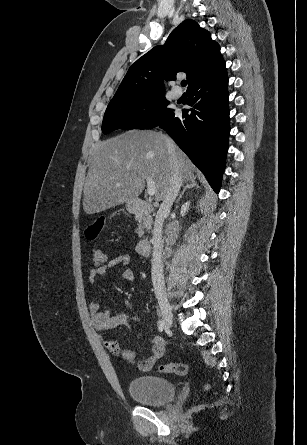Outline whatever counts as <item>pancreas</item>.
Masks as SVG:
<instances>
[{
  "instance_id": "cf45deb5",
  "label": "pancreas",
  "mask_w": 307,
  "mask_h": 445,
  "mask_svg": "<svg viewBox=\"0 0 307 445\" xmlns=\"http://www.w3.org/2000/svg\"><path fill=\"white\" fill-rule=\"evenodd\" d=\"M138 231H142V229H144L143 225H141V223H138ZM139 237H142V235H139Z\"/></svg>"
}]
</instances>
